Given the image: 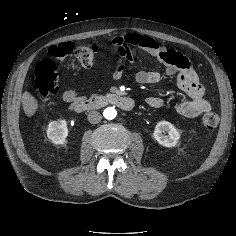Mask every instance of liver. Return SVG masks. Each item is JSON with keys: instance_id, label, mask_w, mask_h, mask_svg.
<instances>
[{"instance_id": "6515ba94", "label": "liver", "mask_w": 236, "mask_h": 236, "mask_svg": "<svg viewBox=\"0 0 236 236\" xmlns=\"http://www.w3.org/2000/svg\"><path fill=\"white\" fill-rule=\"evenodd\" d=\"M22 105L23 110L28 117H32L38 109V102L36 98L28 91H25L22 95Z\"/></svg>"}]
</instances>
